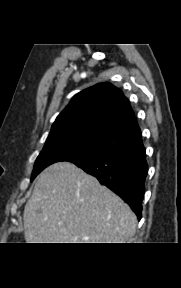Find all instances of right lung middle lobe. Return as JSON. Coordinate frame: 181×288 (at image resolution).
Masks as SVG:
<instances>
[{
    "label": "right lung middle lobe",
    "mask_w": 181,
    "mask_h": 288,
    "mask_svg": "<svg viewBox=\"0 0 181 288\" xmlns=\"http://www.w3.org/2000/svg\"><path fill=\"white\" fill-rule=\"evenodd\" d=\"M109 153L105 147L81 138H66L46 141L37 157L31 181L47 166L60 161L101 156Z\"/></svg>",
    "instance_id": "1"
}]
</instances>
